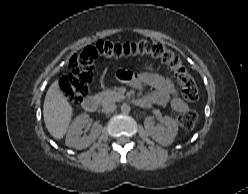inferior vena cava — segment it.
<instances>
[{"instance_id": "inferior-vena-cava-1", "label": "inferior vena cava", "mask_w": 248, "mask_h": 194, "mask_svg": "<svg viewBox=\"0 0 248 194\" xmlns=\"http://www.w3.org/2000/svg\"><path fill=\"white\" fill-rule=\"evenodd\" d=\"M117 106L114 103H108L103 106V111L105 113H111L116 110Z\"/></svg>"}]
</instances>
